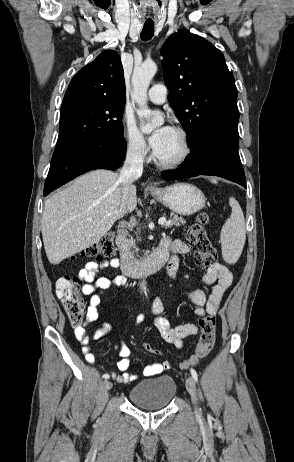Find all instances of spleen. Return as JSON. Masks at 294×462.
I'll return each instance as SVG.
<instances>
[{"mask_svg": "<svg viewBox=\"0 0 294 462\" xmlns=\"http://www.w3.org/2000/svg\"><path fill=\"white\" fill-rule=\"evenodd\" d=\"M217 183L216 179H210ZM232 209L231 216L226 220L221 230V250L223 259L230 264L238 261L246 240L245 219L242 209L235 198L229 199Z\"/></svg>", "mask_w": 294, "mask_h": 462, "instance_id": "1", "label": "spleen"}]
</instances>
